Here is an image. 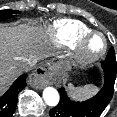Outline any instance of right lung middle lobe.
<instances>
[{
    "label": "right lung middle lobe",
    "mask_w": 117,
    "mask_h": 117,
    "mask_svg": "<svg viewBox=\"0 0 117 117\" xmlns=\"http://www.w3.org/2000/svg\"><path fill=\"white\" fill-rule=\"evenodd\" d=\"M19 11L16 10H1L0 11V22L6 19L14 17V14H19Z\"/></svg>",
    "instance_id": "obj_1"
}]
</instances>
